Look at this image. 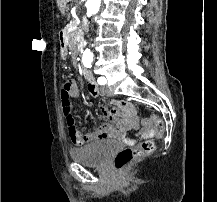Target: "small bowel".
Listing matches in <instances>:
<instances>
[{
    "label": "small bowel",
    "instance_id": "small-bowel-1",
    "mask_svg": "<svg viewBox=\"0 0 217 202\" xmlns=\"http://www.w3.org/2000/svg\"><path fill=\"white\" fill-rule=\"evenodd\" d=\"M88 92L92 97L98 98L100 91L96 83L92 80L88 81ZM80 96V88L78 84L73 81V85L70 90V97L78 98ZM112 108L109 112L104 110L106 118L113 121L111 124H106L98 129L90 130L86 132L75 131V134L70 135L71 141L75 146H82L92 142L115 139L124 145L132 146L136 143V140L131 138L129 132H138L142 138H150L154 136L153 128H142V123L136 118V104H132L131 101H111ZM111 113H116V116H112ZM120 117V118H119Z\"/></svg>",
    "mask_w": 217,
    "mask_h": 202
}]
</instances>
